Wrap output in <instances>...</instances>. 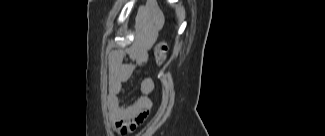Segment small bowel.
<instances>
[{
  "label": "small bowel",
  "mask_w": 325,
  "mask_h": 136,
  "mask_svg": "<svg viewBox=\"0 0 325 136\" xmlns=\"http://www.w3.org/2000/svg\"><path fill=\"white\" fill-rule=\"evenodd\" d=\"M155 38L151 32L149 40ZM128 52L113 51L109 55V82L107 92V106L114 129L122 133L133 131L148 116L151 109L150 94L154 89V82L150 76H145L140 83L138 98L129 106H122L120 96L123 83L132 75L134 64L126 63Z\"/></svg>",
  "instance_id": "1"
}]
</instances>
